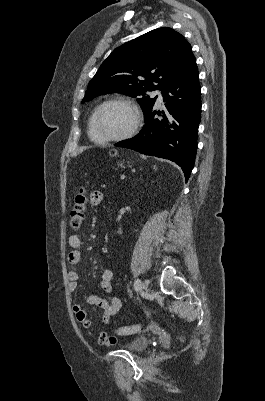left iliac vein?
I'll use <instances>...</instances> for the list:
<instances>
[{
    "label": "left iliac vein",
    "mask_w": 265,
    "mask_h": 401,
    "mask_svg": "<svg viewBox=\"0 0 265 401\" xmlns=\"http://www.w3.org/2000/svg\"><path fill=\"white\" fill-rule=\"evenodd\" d=\"M141 286L145 293L148 292L149 287H148L147 283H143V284H141Z\"/></svg>",
    "instance_id": "left-iliac-vein-1"
}]
</instances>
